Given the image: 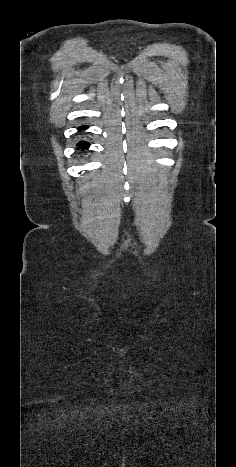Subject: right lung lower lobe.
<instances>
[{
	"label": "right lung lower lobe",
	"instance_id": "obj_1",
	"mask_svg": "<svg viewBox=\"0 0 236 467\" xmlns=\"http://www.w3.org/2000/svg\"><path fill=\"white\" fill-rule=\"evenodd\" d=\"M87 129L88 127L87 126H83V127H80L79 129ZM80 148L82 149H87L89 147V143L85 142V141H82L80 142Z\"/></svg>",
	"mask_w": 236,
	"mask_h": 467
}]
</instances>
